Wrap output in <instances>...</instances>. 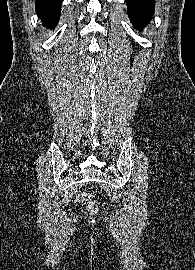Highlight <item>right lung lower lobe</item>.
<instances>
[{"label":"right lung lower lobe","instance_id":"1","mask_svg":"<svg viewBox=\"0 0 195 270\" xmlns=\"http://www.w3.org/2000/svg\"><path fill=\"white\" fill-rule=\"evenodd\" d=\"M62 0H36V11L47 28L56 26L60 17Z\"/></svg>","mask_w":195,"mask_h":270}]
</instances>
